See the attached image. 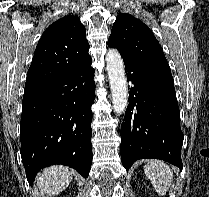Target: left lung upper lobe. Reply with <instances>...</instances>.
I'll return each instance as SVG.
<instances>
[{
    "label": "left lung upper lobe",
    "instance_id": "1",
    "mask_svg": "<svg viewBox=\"0 0 209 197\" xmlns=\"http://www.w3.org/2000/svg\"><path fill=\"white\" fill-rule=\"evenodd\" d=\"M108 45L117 48L124 61L171 74L163 50L152 31L130 14L117 16Z\"/></svg>",
    "mask_w": 209,
    "mask_h": 197
}]
</instances>
